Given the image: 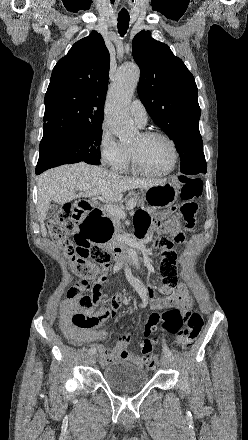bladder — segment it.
<instances>
[{
    "instance_id": "bladder-1",
    "label": "bladder",
    "mask_w": 248,
    "mask_h": 440,
    "mask_svg": "<svg viewBox=\"0 0 248 440\" xmlns=\"http://www.w3.org/2000/svg\"><path fill=\"white\" fill-rule=\"evenodd\" d=\"M104 382L113 390L129 391L144 387L150 375L146 368L128 361H117L102 370Z\"/></svg>"
}]
</instances>
